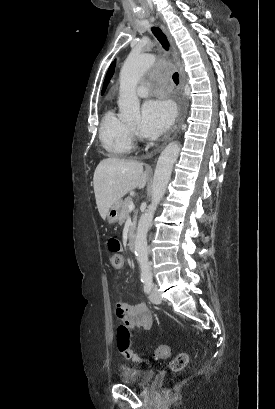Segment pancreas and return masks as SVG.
<instances>
[{"label":"pancreas","mask_w":275,"mask_h":409,"mask_svg":"<svg viewBox=\"0 0 275 409\" xmlns=\"http://www.w3.org/2000/svg\"><path fill=\"white\" fill-rule=\"evenodd\" d=\"M132 200H133L132 196H126L125 200H123L121 213L119 215V225H122V223H125V219L129 213L128 205H130V202H132ZM136 221H137V217L135 215L133 219V225L129 229L130 233H132V231H135Z\"/></svg>","instance_id":"cf45deb5"}]
</instances>
